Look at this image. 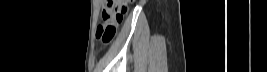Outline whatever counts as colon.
Wrapping results in <instances>:
<instances>
[{
	"label": "colon",
	"instance_id": "colon-1",
	"mask_svg": "<svg viewBox=\"0 0 267 72\" xmlns=\"http://www.w3.org/2000/svg\"><path fill=\"white\" fill-rule=\"evenodd\" d=\"M133 0H107V16L102 18L103 22L98 25L96 38L102 43H109L115 36L118 26L128 11L129 5Z\"/></svg>",
	"mask_w": 267,
	"mask_h": 72
}]
</instances>
